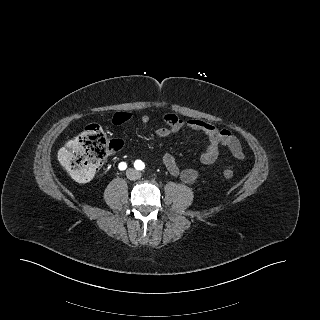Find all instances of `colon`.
Listing matches in <instances>:
<instances>
[{"mask_svg": "<svg viewBox=\"0 0 320 320\" xmlns=\"http://www.w3.org/2000/svg\"><path fill=\"white\" fill-rule=\"evenodd\" d=\"M121 146L120 141L109 140L99 124H90L60 149L58 159L73 179L86 182L93 177L108 151ZM222 176L231 179L234 177V172L225 168L222 170Z\"/></svg>", "mask_w": 320, "mask_h": 320, "instance_id": "1", "label": "colon"}]
</instances>
